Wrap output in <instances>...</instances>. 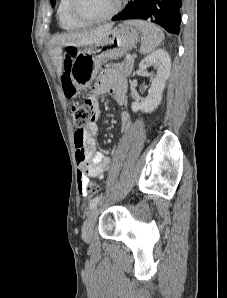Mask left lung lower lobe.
Wrapping results in <instances>:
<instances>
[{"instance_id":"0a47b994","label":"left lung lower lobe","mask_w":227,"mask_h":298,"mask_svg":"<svg viewBox=\"0 0 227 298\" xmlns=\"http://www.w3.org/2000/svg\"><path fill=\"white\" fill-rule=\"evenodd\" d=\"M181 2L182 0H130L112 20H149L172 34H179Z\"/></svg>"}]
</instances>
